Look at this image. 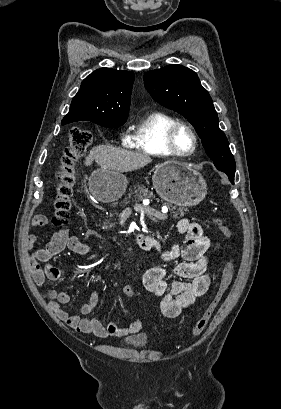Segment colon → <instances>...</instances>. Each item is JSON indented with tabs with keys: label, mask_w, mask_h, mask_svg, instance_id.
Masks as SVG:
<instances>
[{
	"label": "colon",
	"mask_w": 281,
	"mask_h": 409,
	"mask_svg": "<svg viewBox=\"0 0 281 409\" xmlns=\"http://www.w3.org/2000/svg\"><path fill=\"white\" fill-rule=\"evenodd\" d=\"M90 142L91 134L89 131L82 128H74L69 131L65 150L59 159L56 196L52 201V208L54 210L52 223L55 226H62L69 217L74 185L76 183L75 162L77 158L84 154ZM215 224L224 237L231 239L232 232L222 218H216ZM234 271V262L230 260L224 268L223 276L213 299L202 316L194 323L192 327L193 334L202 333L210 323L227 294Z\"/></svg>",
	"instance_id": "1"
}]
</instances>
